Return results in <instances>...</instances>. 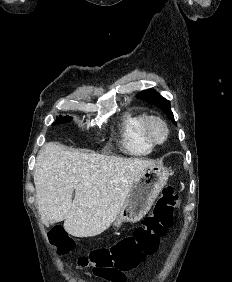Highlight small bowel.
<instances>
[{
  "label": "small bowel",
  "mask_w": 232,
  "mask_h": 282,
  "mask_svg": "<svg viewBox=\"0 0 232 282\" xmlns=\"http://www.w3.org/2000/svg\"><path fill=\"white\" fill-rule=\"evenodd\" d=\"M102 278L109 282H127V276L124 271H114Z\"/></svg>",
  "instance_id": "obj_1"
}]
</instances>
